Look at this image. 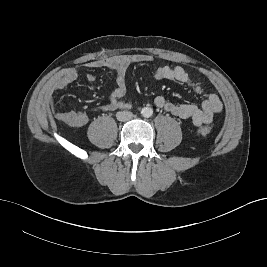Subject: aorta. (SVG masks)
<instances>
[{
  "label": "aorta",
  "mask_w": 267,
  "mask_h": 267,
  "mask_svg": "<svg viewBox=\"0 0 267 267\" xmlns=\"http://www.w3.org/2000/svg\"><path fill=\"white\" fill-rule=\"evenodd\" d=\"M141 114L143 115V117L145 118H149L152 116L153 114V110L152 108L150 107H144L142 110H141Z\"/></svg>",
  "instance_id": "762f6f07"
}]
</instances>
